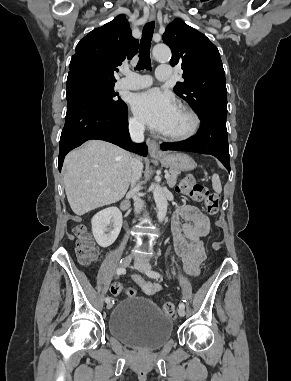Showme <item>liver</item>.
I'll list each match as a JSON object with an SVG mask.
<instances>
[{"instance_id": "liver-1", "label": "liver", "mask_w": 291, "mask_h": 381, "mask_svg": "<svg viewBox=\"0 0 291 381\" xmlns=\"http://www.w3.org/2000/svg\"><path fill=\"white\" fill-rule=\"evenodd\" d=\"M131 154L111 143L92 140L64 160V185L72 211L82 216L121 200L131 181Z\"/></svg>"}]
</instances>
